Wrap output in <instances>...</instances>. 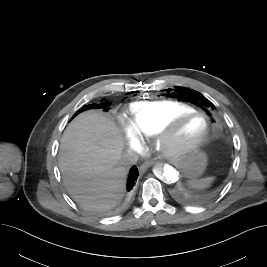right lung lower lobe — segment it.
I'll use <instances>...</instances> for the list:
<instances>
[{"mask_svg": "<svg viewBox=\"0 0 267 267\" xmlns=\"http://www.w3.org/2000/svg\"><path fill=\"white\" fill-rule=\"evenodd\" d=\"M138 175H139V173H138L137 167L133 166L130 170L129 178H128V182H127V190L128 191H131L133 189Z\"/></svg>", "mask_w": 267, "mask_h": 267, "instance_id": "1", "label": "right lung lower lobe"}]
</instances>
